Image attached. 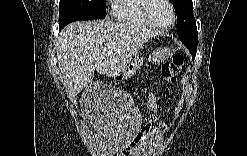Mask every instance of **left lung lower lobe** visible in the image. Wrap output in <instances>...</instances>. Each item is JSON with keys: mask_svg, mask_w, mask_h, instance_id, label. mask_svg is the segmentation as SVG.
Segmentation results:
<instances>
[{"mask_svg": "<svg viewBox=\"0 0 247 156\" xmlns=\"http://www.w3.org/2000/svg\"><path fill=\"white\" fill-rule=\"evenodd\" d=\"M190 53L192 54V58L194 60L195 56H196V50H191L189 49Z\"/></svg>", "mask_w": 247, "mask_h": 156, "instance_id": "obj_1", "label": "left lung lower lobe"}]
</instances>
